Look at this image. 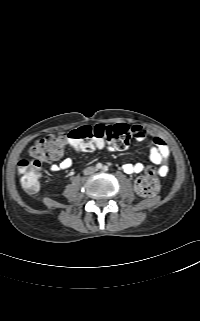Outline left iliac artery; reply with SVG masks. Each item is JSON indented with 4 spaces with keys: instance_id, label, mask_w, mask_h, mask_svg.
<instances>
[{
    "instance_id": "1",
    "label": "left iliac artery",
    "mask_w": 200,
    "mask_h": 321,
    "mask_svg": "<svg viewBox=\"0 0 200 321\" xmlns=\"http://www.w3.org/2000/svg\"><path fill=\"white\" fill-rule=\"evenodd\" d=\"M103 170H104V171H107V170H108V166H104V167H103Z\"/></svg>"
}]
</instances>
